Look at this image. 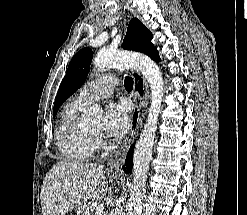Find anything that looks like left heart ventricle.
I'll use <instances>...</instances> for the list:
<instances>
[{"label": "left heart ventricle", "mask_w": 247, "mask_h": 215, "mask_svg": "<svg viewBox=\"0 0 247 215\" xmlns=\"http://www.w3.org/2000/svg\"><path fill=\"white\" fill-rule=\"evenodd\" d=\"M94 133H99L100 132V129H96L93 131Z\"/></svg>", "instance_id": "b2bd125f"}]
</instances>
